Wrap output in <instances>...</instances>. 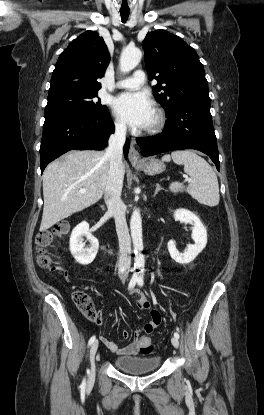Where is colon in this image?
<instances>
[{
  "mask_svg": "<svg viewBox=\"0 0 264 415\" xmlns=\"http://www.w3.org/2000/svg\"><path fill=\"white\" fill-rule=\"evenodd\" d=\"M68 230L69 224L63 222L57 225L53 231H43L37 235L36 242L39 251L38 261L43 268L53 270L57 266L56 260L49 251L53 246L54 239L67 234ZM72 298L77 308L84 316L91 321H99L100 315L88 293L84 291H75ZM138 340L143 344L147 354L154 351V343L148 335H143L138 332Z\"/></svg>",
  "mask_w": 264,
  "mask_h": 415,
  "instance_id": "colon-1",
  "label": "colon"
}]
</instances>
